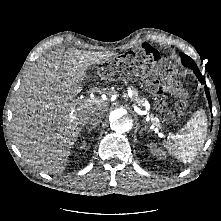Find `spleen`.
<instances>
[{"label": "spleen", "mask_w": 221, "mask_h": 221, "mask_svg": "<svg viewBox=\"0 0 221 221\" xmlns=\"http://www.w3.org/2000/svg\"><path fill=\"white\" fill-rule=\"evenodd\" d=\"M207 135V119L203 110L194 113L193 118L182 129V134L174 141H166L163 146L168 152L184 163H190L203 147Z\"/></svg>", "instance_id": "obj_1"}]
</instances>
